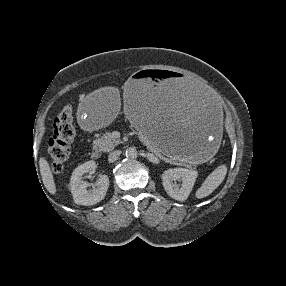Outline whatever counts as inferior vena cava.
<instances>
[{
  "label": "inferior vena cava",
  "instance_id": "inferior-vena-cava-1",
  "mask_svg": "<svg viewBox=\"0 0 286 286\" xmlns=\"http://www.w3.org/2000/svg\"><path fill=\"white\" fill-rule=\"evenodd\" d=\"M121 154V151L120 150H116V151H113L109 154L108 156V161L110 163H113L114 161H116L118 159V157L120 156Z\"/></svg>",
  "mask_w": 286,
  "mask_h": 286
}]
</instances>
